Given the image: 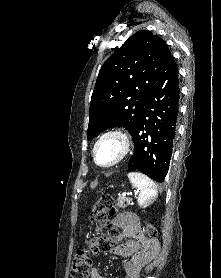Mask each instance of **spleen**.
Here are the masks:
<instances>
[{"label": "spleen", "mask_w": 221, "mask_h": 278, "mask_svg": "<svg viewBox=\"0 0 221 278\" xmlns=\"http://www.w3.org/2000/svg\"><path fill=\"white\" fill-rule=\"evenodd\" d=\"M133 187L140 190L138 196V204L140 207H146L156 200L158 191L155 183L146 175L139 172H131L128 174Z\"/></svg>", "instance_id": "spleen-1"}]
</instances>
